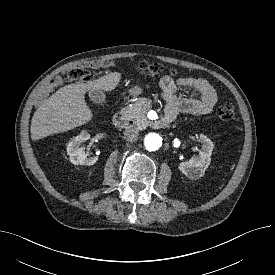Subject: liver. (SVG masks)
<instances>
[{
	"label": "liver",
	"instance_id": "liver-1",
	"mask_svg": "<svg viewBox=\"0 0 275 275\" xmlns=\"http://www.w3.org/2000/svg\"><path fill=\"white\" fill-rule=\"evenodd\" d=\"M120 80V73L111 72L88 83L61 87L35 111L31 121L32 140L63 133L89 122L93 113L85 101L86 92L94 89L112 91Z\"/></svg>",
	"mask_w": 275,
	"mask_h": 275
}]
</instances>
